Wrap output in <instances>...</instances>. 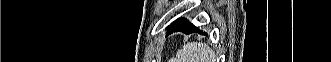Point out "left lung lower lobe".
Returning a JSON list of instances; mask_svg holds the SVG:
<instances>
[{
  "instance_id": "obj_1",
  "label": "left lung lower lobe",
  "mask_w": 331,
  "mask_h": 62,
  "mask_svg": "<svg viewBox=\"0 0 331 62\" xmlns=\"http://www.w3.org/2000/svg\"><path fill=\"white\" fill-rule=\"evenodd\" d=\"M183 31L186 34H189L195 30H197V27L192 25L190 22L185 20L184 18L178 19L174 21L168 28L167 35L169 33H172L173 31ZM200 32V30H198Z\"/></svg>"
}]
</instances>
